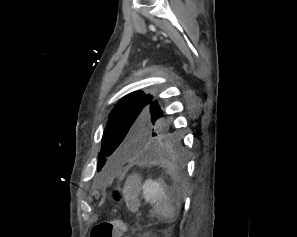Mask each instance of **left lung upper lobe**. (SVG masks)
<instances>
[{
	"mask_svg": "<svg viewBox=\"0 0 297 237\" xmlns=\"http://www.w3.org/2000/svg\"><path fill=\"white\" fill-rule=\"evenodd\" d=\"M153 97L133 92L122 98L111 112L104 130L97 170L105 165L107 158L114 161L145 157L152 143L167 129L158 120L161 109Z\"/></svg>",
	"mask_w": 297,
	"mask_h": 237,
	"instance_id": "1",
	"label": "left lung upper lobe"
}]
</instances>
